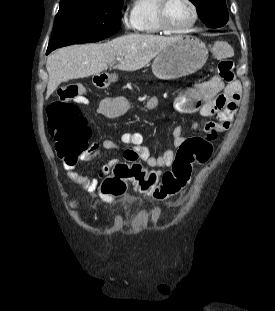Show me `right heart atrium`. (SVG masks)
<instances>
[{
	"mask_svg": "<svg viewBox=\"0 0 275 311\" xmlns=\"http://www.w3.org/2000/svg\"><path fill=\"white\" fill-rule=\"evenodd\" d=\"M121 21L127 30H136L137 25L132 15H123Z\"/></svg>",
	"mask_w": 275,
	"mask_h": 311,
	"instance_id": "1",
	"label": "right heart atrium"
}]
</instances>
